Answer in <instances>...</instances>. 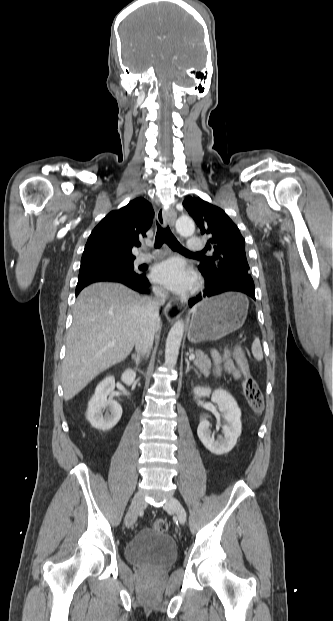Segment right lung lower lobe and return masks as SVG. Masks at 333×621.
I'll return each instance as SVG.
<instances>
[{
  "mask_svg": "<svg viewBox=\"0 0 333 621\" xmlns=\"http://www.w3.org/2000/svg\"><path fill=\"white\" fill-rule=\"evenodd\" d=\"M118 282L139 292L149 293V281L144 273L136 271L122 272L113 269H88L80 271L76 286V296L87 285L95 282Z\"/></svg>",
  "mask_w": 333,
  "mask_h": 621,
  "instance_id": "1",
  "label": "right lung lower lobe"
}]
</instances>
